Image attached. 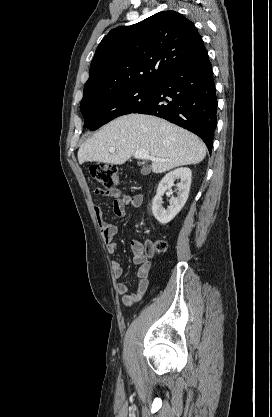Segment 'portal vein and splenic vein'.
Returning <instances> with one entry per match:
<instances>
[{
    "mask_svg": "<svg viewBox=\"0 0 272 417\" xmlns=\"http://www.w3.org/2000/svg\"><path fill=\"white\" fill-rule=\"evenodd\" d=\"M115 149L111 148L110 152L113 153ZM134 157L137 159H146L151 161H159V159L152 157L149 155V152L147 150H138L135 152Z\"/></svg>",
    "mask_w": 272,
    "mask_h": 417,
    "instance_id": "obj_1",
    "label": "portal vein and splenic vein"
}]
</instances>
